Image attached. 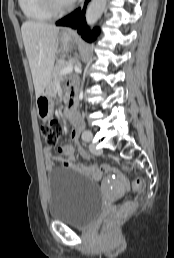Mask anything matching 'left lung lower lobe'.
Listing matches in <instances>:
<instances>
[{"label": "left lung lower lobe", "instance_id": "left-lung-lower-lobe-1", "mask_svg": "<svg viewBox=\"0 0 174 258\" xmlns=\"http://www.w3.org/2000/svg\"><path fill=\"white\" fill-rule=\"evenodd\" d=\"M88 2V0H86ZM58 26H71L77 28V31L88 42H92L97 37L99 30L97 28L90 31L85 20V8L75 10L73 13L56 22Z\"/></svg>", "mask_w": 174, "mask_h": 258}]
</instances>
